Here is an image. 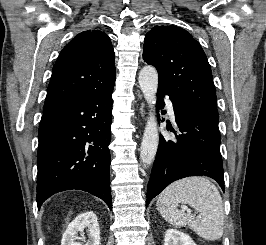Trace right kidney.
<instances>
[{"mask_svg":"<svg viewBox=\"0 0 266 245\" xmlns=\"http://www.w3.org/2000/svg\"><path fill=\"white\" fill-rule=\"evenodd\" d=\"M74 229V245H83V243H77L76 239L84 241L86 245H100V231L97 217L93 211H87V213H81L74 221H72ZM88 233V239L86 241L84 231ZM78 233H81L82 237H77Z\"/></svg>","mask_w":266,"mask_h":245,"instance_id":"ca27d5eb","label":"right kidney"}]
</instances>
